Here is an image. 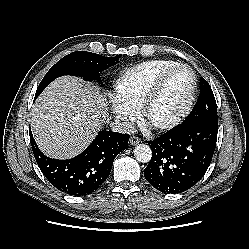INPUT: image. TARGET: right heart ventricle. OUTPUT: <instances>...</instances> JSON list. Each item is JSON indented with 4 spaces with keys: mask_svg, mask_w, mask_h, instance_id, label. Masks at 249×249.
<instances>
[{
    "mask_svg": "<svg viewBox=\"0 0 249 249\" xmlns=\"http://www.w3.org/2000/svg\"><path fill=\"white\" fill-rule=\"evenodd\" d=\"M177 64L169 59H155L127 69L116 80V98L133 110H138L157 78Z\"/></svg>",
    "mask_w": 249,
    "mask_h": 249,
    "instance_id": "right-heart-ventricle-1",
    "label": "right heart ventricle"
}]
</instances>
